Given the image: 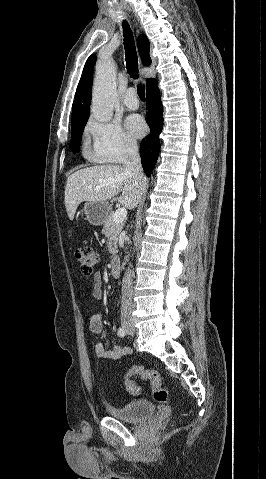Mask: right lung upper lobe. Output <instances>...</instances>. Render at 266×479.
Returning <instances> with one entry per match:
<instances>
[{"instance_id": "right-lung-upper-lobe-1", "label": "right lung upper lobe", "mask_w": 266, "mask_h": 479, "mask_svg": "<svg viewBox=\"0 0 266 479\" xmlns=\"http://www.w3.org/2000/svg\"><path fill=\"white\" fill-rule=\"evenodd\" d=\"M138 50L142 61L145 65H150L151 58L149 55V41L145 35H140L137 41ZM96 60L95 55H91L84 66L81 79L79 81L75 98L72 106V123L86 119L89 117V106L92 95V78L94 63ZM156 82L155 79L150 78L146 80L147 87Z\"/></svg>"}]
</instances>
